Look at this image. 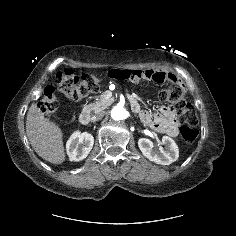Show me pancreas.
<instances>
[{
	"label": "pancreas",
	"mask_w": 236,
	"mask_h": 236,
	"mask_svg": "<svg viewBox=\"0 0 236 236\" xmlns=\"http://www.w3.org/2000/svg\"><path fill=\"white\" fill-rule=\"evenodd\" d=\"M113 99H106L104 96H101L100 99L96 100L93 103H90L84 106L86 111H93L95 113L100 112L101 110L107 108L112 103Z\"/></svg>",
	"instance_id": "pancreas-1"
}]
</instances>
